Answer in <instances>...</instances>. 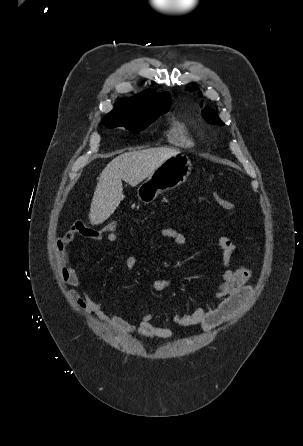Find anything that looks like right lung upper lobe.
Here are the masks:
<instances>
[{
    "mask_svg": "<svg viewBox=\"0 0 303 446\" xmlns=\"http://www.w3.org/2000/svg\"><path fill=\"white\" fill-rule=\"evenodd\" d=\"M169 93H156L153 90H146L134 98H122L111 111L124 114H144L157 107L170 105Z\"/></svg>",
    "mask_w": 303,
    "mask_h": 446,
    "instance_id": "right-lung-upper-lobe-1",
    "label": "right lung upper lobe"
}]
</instances>
